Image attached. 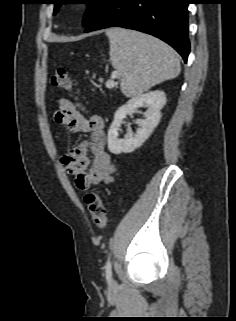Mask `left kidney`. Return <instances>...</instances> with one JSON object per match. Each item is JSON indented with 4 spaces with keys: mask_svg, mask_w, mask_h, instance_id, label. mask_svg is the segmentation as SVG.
<instances>
[{
    "mask_svg": "<svg viewBox=\"0 0 236 321\" xmlns=\"http://www.w3.org/2000/svg\"><path fill=\"white\" fill-rule=\"evenodd\" d=\"M166 104V95L163 91L155 90L138 95L119 107L108 131V149L113 154L130 153L140 147L153 132L161 119V109ZM147 107L144 120H137L139 126L136 134L128 135L124 139L118 138V130L123 119L139 107Z\"/></svg>",
    "mask_w": 236,
    "mask_h": 321,
    "instance_id": "left-kidney-1",
    "label": "left kidney"
}]
</instances>
